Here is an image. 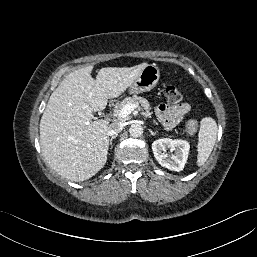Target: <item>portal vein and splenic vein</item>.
I'll return each instance as SVG.
<instances>
[{"label": "portal vein and splenic vein", "instance_id": "1", "mask_svg": "<svg viewBox=\"0 0 257 257\" xmlns=\"http://www.w3.org/2000/svg\"><path fill=\"white\" fill-rule=\"evenodd\" d=\"M138 105L137 104H131V103H129V104H126L123 108H122V110L120 111V117L121 118H126V117H128V115H130L131 114V112L137 107Z\"/></svg>", "mask_w": 257, "mask_h": 257}]
</instances>
